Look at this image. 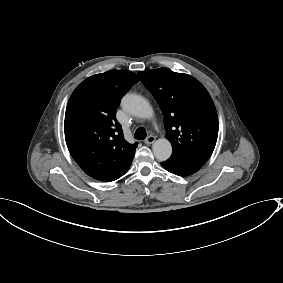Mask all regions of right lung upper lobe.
<instances>
[{"mask_svg":"<svg viewBox=\"0 0 283 283\" xmlns=\"http://www.w3.org/2000/svg\"><path fill=\"white\" fill-rule=\"evenodd\" d=\"M138 81L133 72L110 70L81 82L68 101L64 122L67 147L94 179L114 181L132 163L137 143L124 139L116 110L122 96Z\"/></svg>","mask_w":283,"mask_h":283,"instance_id":"right-lung-upper-lobe-1","label":"right lung upper lobe"}]
</instances>
